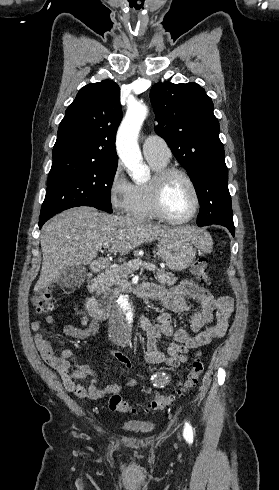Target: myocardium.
Listing matches in <instances>:
<instances>
[{"label": "myocardium", "instance_id": "myocardium-1", "mask_svg": "<svg viewBox=\"0 0 279 490\" xmlns=\"http://www.w3.org/2000/svg\"><path fill=\"white\" fill-rule=\"evenodd\" d=\"M175 176L183 177L192 187L195 196V202L192 212L183 219L173 218L169 215L165 208V193L170 180ZM152 183V206L157 217L172 224L187 223L195 218L201 205V196L198 185L196 184L193 177L186 170L180 167L173 166L162 168L156 172L153 177Z\"/></svg>", "mask_w": 279, "mask_h": 490}]
</instances>
